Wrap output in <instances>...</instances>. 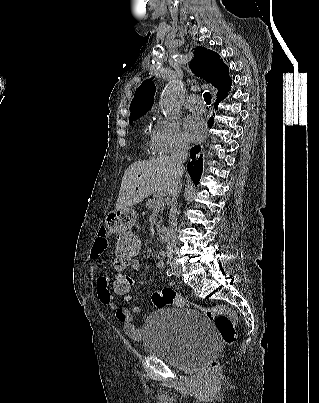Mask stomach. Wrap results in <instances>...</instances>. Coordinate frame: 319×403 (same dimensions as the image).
Returning <instances> with one entry per match:
<instances>
[{"mask_svg":"<svg viewBox=\"0 0 319 403\" xmlns=\"http://www.w3.org/2000/svg\"><path fill=\"white\" fill-rule=\"evenodd\" d=\"M136 215L131 209L112 210L106 217V225L115 238V234L132 233Z\"/></svg>","mask_w":319,"mask_h":403,"instance_id":"stomach-1","label":"stomach"}]
</instances>
